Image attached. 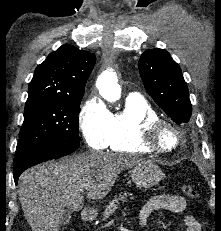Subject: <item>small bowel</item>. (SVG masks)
<instances>
[{
    "label": "small bowel",
    "instance_id": "c3829d8e",
    "mask_svg": "<svg viewBox=\"0 0 221 231\" xmlns=\"http://www.w3.org/2000/svg\"><path fill=\"white\" fill-rule=\"evenodd\" d=\"M186 200L178 195H157L151 197L140 209L139 224L145 227L148 219L155 210L165 209L175 213H182L186 209ZM185 231H202L200 223L192 216L186 215L184 218Z\"/></svg>",
    "mask_w": 221,
    "mask_h": 231
}]
</instances>
